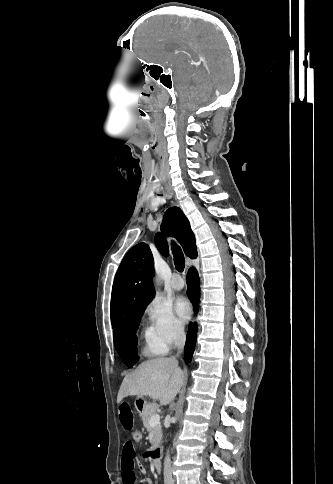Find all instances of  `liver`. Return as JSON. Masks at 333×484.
Masks as SVG:
<instances>
[{
	"mask_svg": "<svg viewBox=\"0 0 333 484\" xmlns=\"http://www.w3.org/2000/svg\"><path fill=\"white\" fill-rule=\"evenodd\" d=\"M184 382V373L175 358H155L142 362L136 370L126 375L120 386L117 403L125 397L148 396L161 405L171 403Z\"/></svg>",
	"mask_w": 333,
	"mask_h": 484,
	"instance_id": "obj_1",
	"label": "liver"
}]
</instances>
